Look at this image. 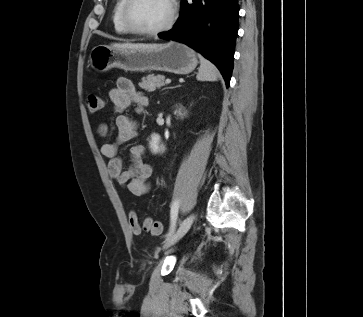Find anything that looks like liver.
<instances>
[{"instance_id": "liver-1", "label": "liver", "mask_w": 363, "mask_h": 317, "mask_svg": "<svg viewBox=\"0 0 363 317\" xmlns=\"http://www.w3.org/2000/svg\"><path fill=\"white\" fill-rule=\"evenodd\" d=\"M159 44H144V43H113L112 48L117 49H139V48H156Z\"/></svg>"}]
</instances>
